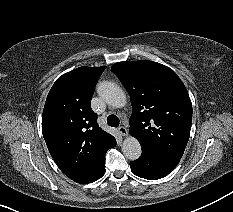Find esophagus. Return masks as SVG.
<instances>
[{
	"label": "esophagus",
	"instance_id": "obj_1",
	"mask_svg": "<svg viewBox=\"0 0 233 212\" xmlns=\"http://www.w3.org/2000/svg\"><path fill=\"white\" fill-rule=\"evenodd\" d=\"M118 131L119 133L122 135V136H127L128 135V130L127 128H125L124 126H120L118 128Z\"/></svg>",
	"mask_w": 233,
	"mask_h": 212
}]
</instances>
